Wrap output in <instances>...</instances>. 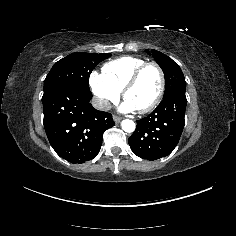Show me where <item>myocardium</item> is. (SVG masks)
<instances>
[{
	"label": "myocardium",
	"mask_w": 236,
	"mask_h": 236,
	"mask_svg": "<svg viewBox=\"0 0 236 236\" xmlns=\"http://www.w3.org/2000/svg\"><path fill=\"white\" fill-rule=\"evenodd\" d=\"M149 67H154L158 71L159 77H160V83H159V88H158L157 94H156L155 98L153 99V101L149 105H147L146 107L137 110V112L141 113V114L148 113V112L152 111L154 108H156L158 106V104L161 102V100L163 98L165 87H166V76H165V73H164V70L162 69V67L156 62H146V63L140 65L131 74V76L128 78V80L126 81V83L122 89L123 99L126 100L127 92L136 84V82L139 79L142 72Z\"/></svg>",
	"instance_id": "obj_1"
}]
</instances>
